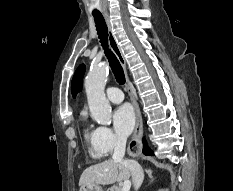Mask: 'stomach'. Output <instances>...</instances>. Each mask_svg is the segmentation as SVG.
Returning a JSON list of instances; mask_svg holds the SVG:
<instances>
[{"label": "stomach", "instance_id": "obj_1", "mask_svg": "<svg viewBox=\"0 0 233 191\" xmlns=\"http://www.w3.org/2000/svg\"><path fill=\"white\" fill-rule=\"evenodd\" d=\"M79 191H103V190L100 186L93 185V186H81Z\"/></svg>", "mask_w": 233, "mask_h": 191}]
</instances>
